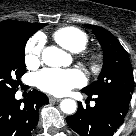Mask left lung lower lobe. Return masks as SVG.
Here are the masks:
<instances>
[{"instance_id": "obj_1", "label": "left lung lower lobe", "mask_w": 136, "mask_h": 136, "mask_svg": "<svg viewBox=\"0 0 136 136\" xmlns=\"http://www.w3.org/2000/svg\"><path fill=\"white\" fill-rule=\"evenodd\" d=\"M96 104L93 108L78 103L77 112L66 118L68 125L81 136H110L125 117L128 104L131 100V93L105 92L99 94H89Z\"/></svg>"}]
</instances>
